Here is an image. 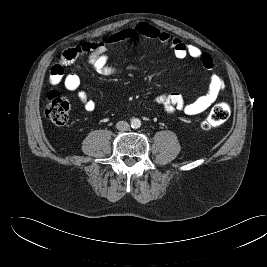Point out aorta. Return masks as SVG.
Returning <instances> with one entry per match:
<instances>
[{
    "mask_svg": "<svg viewBox=\"0 0 267 267\" xmlns=\"http://www.w3.org/2000/svg\"><path fill=\"white\" fill-rule=\"evenodd\" d=\"M140 126H141V120H140V119H138V118H134V119L131 120V127H132V128L137 129V128H139Z\"/></svg>",
    "mask_w": 267,
    "mask_h": 267,
    "instance_id": "762f6f07",
    "label": "aorta"
}]
</instances>
